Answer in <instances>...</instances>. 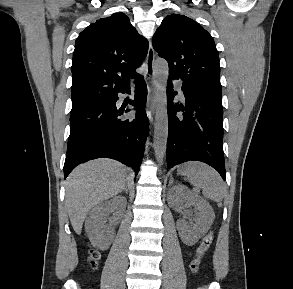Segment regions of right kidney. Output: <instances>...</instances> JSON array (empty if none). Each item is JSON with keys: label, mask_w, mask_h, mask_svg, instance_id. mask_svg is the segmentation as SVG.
I'll list each match as a JSON object with an SVG mask.
<instances>
[{"label": "right kidney", "mask_w": 293, "mask_h": 289, "mask_svg": "<svg viewBox=\"0 0 293 289\" xmlns=\"http://www.w3.org/2000/svg\"><path fill=\"white\" fill-rule=\"evenodd\" d=\"M126 208V199L121 196H115L110 201L103 202L95 206L85 223L90 241L100 249L109 246L114 234L113 227L106 225V217L111 212L122 214Z\"/></svg>", "instance_id": "1"}]
</instances>
